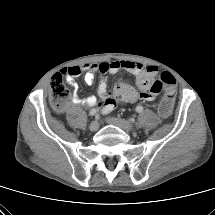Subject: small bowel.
I'll return each mask as SVG.
<instances>
[{
  "mask_svg": "<svg viewBox=\"0 0 215 215\" xmlns=\"http://www.w3.org/2000/svg\"><path fill=\"white\" fill-rule=\"evenodd\" d=\"M120 70H126L133 74L136 77L138 88L124 82H117L113 90L109 91L107 84L108 74H114ZM97 73L100 75L97 89L100 100L95 96L81 98L78 95L76 78L83 74L85 83L92 85ZM60 74L65 76L67 82L74 89L70 100L72 104L88 107L99 105L100 111L103 114L110 113L117 104L135 103L140 100L146 102L154 101L158 94L151 90L155 82V77L158 74V67L155 65H147L128 60H117L100 64L70 66L63 68Z\"/></svg>",
  "mask_w": 215,
  "mask_h": 215,
  "instance_id": "1",
  "label": "small bowel"
}]
</instances>
